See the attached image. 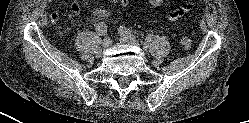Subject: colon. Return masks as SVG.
I'll use <instances>...</instances> for the list:
<instances>
[{
  "label": "colon",
  "mask_w": 249,
  "mask_h": 123,
  "mask_svg": "<svg viewBox=\"0 0 249 123\" xmlns=\"http://www.w3.org/2000/svg\"><path fill=\"white\" fill-rule=\"evenodd\" d=\"M180 45L184 50L190 51L193 48V41L191 38L184 36L180 39Z\"/></svg>",
  "instance_id": "obj_1"
}]
</instances>
